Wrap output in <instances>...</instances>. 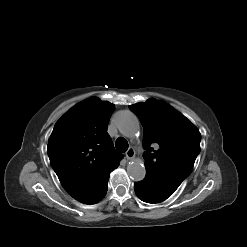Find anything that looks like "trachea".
I'll return each mask as SVG.
<instances>
[{
	"mask_svg": "<svg viewBox=\"0 0 247 247\" xmlns=\"http://www.w3.org/2000/svg\"><path fill=\"white\" fill-rule=\"evenodd\" d=\"M115 145H116V149L121 153L126 152L128 149V142L125 138H122V137H120L116 140Z\"/></svg>",
	"mask_w": 247,
	"mask_h": 247,
	"instance_id": "obj_1",
	"label": "trachea"
}]
</instances>
